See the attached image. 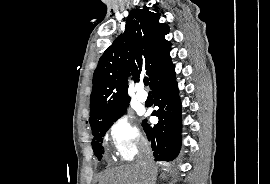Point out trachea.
I'll list each match as a JSON object with an SVG mask.
<instances>
[{
	"instance_id": "3493384b",
	"label": "trachea",
	"mask_w": 270,
	"mask_h": 184,
	"mask_svg": "<svg viewBox=\"0 0 270 184\" xmlns=\"http://www.w3.org/2000/svg\"><path fill=\"white\" fill-rule=\"evenodd\" d=\"M144 84H145L146 86H148V84H149L148 78L144 79Z\"/></svg>"
}]
</instances>
